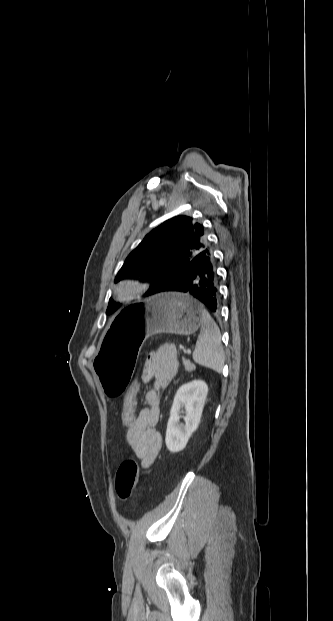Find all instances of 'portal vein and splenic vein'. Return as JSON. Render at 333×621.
Wrapping results in <instances>:
<instances>
[{"label": "portal vein and splenic vein", "instance_id": "1", "mask_svg": "<svg viewBox=\"0 0 333 621\" xmlns=\"http://www.w3.org/2000/svg\"><path fill=\"white\" fill-rule=\"evenodd\" d=\"M186 352H187L188 354H190V353H191V350H190V349H188Z\"/></svg>", "mask_w": 333, "mask_h": 621}]
</instances>
